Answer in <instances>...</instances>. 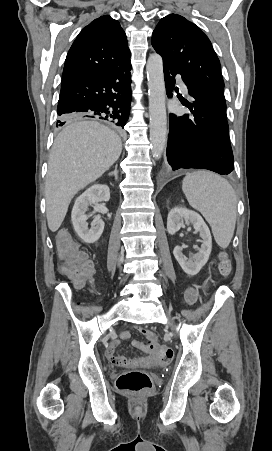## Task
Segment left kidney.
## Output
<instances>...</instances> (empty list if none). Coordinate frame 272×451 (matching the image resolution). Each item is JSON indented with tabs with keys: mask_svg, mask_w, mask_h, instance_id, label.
Returning a JSON list of instances; mask_svg holds the SVG:
<instances>
[{
	"mask_svg": "<svg viewBox=\"0 0 272 451\" xmlns=\"http://www.w3.org/2000/svg\"><path fill=\"white\" fill-rule=\"evenodd\" d=\"M183 222L192 224L195 231H199V235L202 237L201 247H199L198 253H194L190 259L185 257L184 253H182V247H180V245H175L173 253L185 273H188V275H196L209 259L212 249V237L210 229L206 226L203 218H201L199 214H196V212L187 210V208H173V210L169 212L167 218V229L169 233H172V235L173 233H176Z\"/></svg>",
	"mask_w": 272,
	"mask_h": 451,
	"instance_id": "obj_1",
	"label": "left kidney"
}]
</instances>
